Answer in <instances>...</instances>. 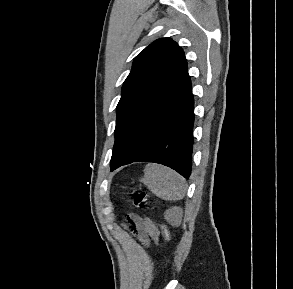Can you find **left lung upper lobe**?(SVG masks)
I'll use <instances>...</instances> for the list:
<instances>
[{"label": "left lung upper lobe", "instance_id": "left-lung-upper-lobe-1", "mask_svg": "<svg viewBox=\"0 0 293 289\" xmlns=\"http://www.w3.org/2000/svg\"><path fill=\"white\" fill-rule=\"evenodd\" d=\"M187 72V60L171 38H160L134 59L117 105L111 171L129 160L118 143L131 124L154 105Z\"/></svg>", "mask_w": 293, "mask_h": 289}]
</instances>
